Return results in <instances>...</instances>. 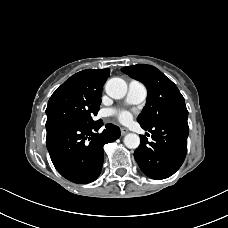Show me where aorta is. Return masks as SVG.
<instances>
[{
    "label": "aorta",
    "instance_id": "obj_1",
    "mask_svg": "<svg viewBox=\"0 0 228 228\" xmlns=\"http://www.w3.org/2000/svg\"><path fill=\"white\" fill-rule=\"evenodd\" d=\"M105 91L111 98L121 99L127 93V84L121 78H111L105 84ZM124 144L129 149H136L140 144V137L137 134L129 133L124 137Z\"/></svg>",
    "mask_w": 228,
    "mask_h": 228
}]
</instances>
